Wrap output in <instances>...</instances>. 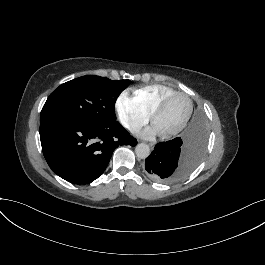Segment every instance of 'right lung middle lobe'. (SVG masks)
Returning <instances> with one entry per match:
<instances>
[{
	"mask_svg": "<svg viewBox=\"0 0 265 265\" xmlns=\"http://www.w3.org/2000/svg\"><path fill=\"white\" fill-rule=\"evenodd\" d=\"M130 83L92 75L68 81L48 97L40 124L60 117L85 118L103 124L115 122V102Z\"/></svg>",
	"mask_w": 265,
	"mask_h": 265,
	"instance_id": "obj_1",
	"label": "right lung middle lobe"
}]
</instances>
